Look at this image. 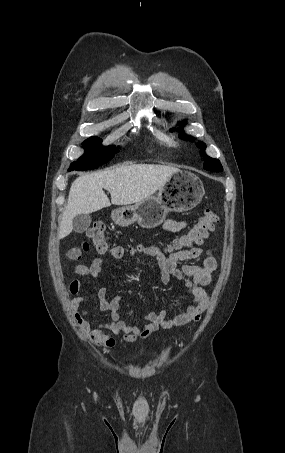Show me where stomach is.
Segmentation results:
<instances>
[{
    "instance_id": "0dacf381",
    "label": "stomach",
    "mask_w": 285,
    "mask_h": 453,
    "mask_svg": "<svg viewBox=\"0 0 285 453\" xmlns=\"http://www.w3.org/2000/svg\"><path fill=\"white\" fill-rule=\"evenodd\" d=\"M204 192L198 176L179 170L159 189L157 196L115 209L111 218L115 224L123 227L137 222L142 228H154L163 223L168 212H185L194 208Z\"/></svg>"
}]
</instances>
